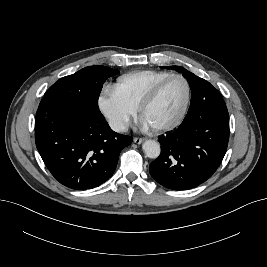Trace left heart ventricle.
<instances>
[{
  "instance_id": "b2bd125f",
  "label": "left heart ventricle",
  "mask_w": 267,
  "mask_h": 267,
  "mask_svg": "<svg viewBox=\"0 0 267 267\" xmlns=\"http://www.w3.org/2000/svg\"><path fill=\"white\" fill-rule=\"evenodd\" d=\"M186 95L182 80L175 78L168 81L156 100L144 111L143 119L150 126L171 122L181 111Z\"/></svg>"
}]
</instances>
